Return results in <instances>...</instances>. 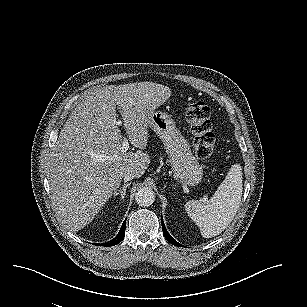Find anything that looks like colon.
Wrapping results in <instances>:
<instances>
[{
  "instance_id": "5ec220e1",
  "label": "colon",
  "mask_w": 307,
  "mask_h": 307,
  "mask_svg": "<svg viewBox=\"0 0 307 307\" xmlns=\"http://www.w3.org/2000/svg\"><path fill=\"white\" fill-rule=\"evenodd\" d=\"M210 115V108L204 101L190 104L185 112L186 120L193 135L195 154L202 160L209 158L215 147V135Z\"/></svg>"
}]
</instances>
